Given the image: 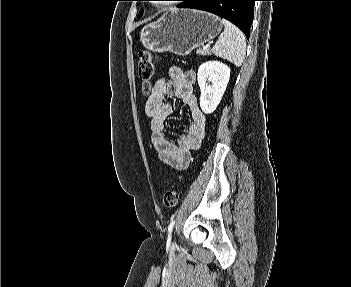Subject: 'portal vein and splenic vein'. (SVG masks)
<instances>
[{"label":"portal vein and splenic vein","mask_w":351,"mask_h":287,"mask_svg":"<svg viewBox=\"0 0 351 287\" xmlns=\"http://www.w3.org/2000/svg\"><path fill=\"white\" fill-rule=\"evenodd\" d=\"M208 46H209V45L204 46V47H203V49H207V48H208Z\"/></svg>","instance_id":"portal-vein-and-splenic-vein-1"}]
</instances>
